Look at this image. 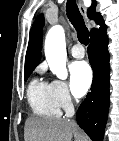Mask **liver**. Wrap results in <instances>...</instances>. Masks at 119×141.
Here are the masks:
<instances>
[{"label":"liver","mask_w":119,"mask_h":141,"mask_svg":"<svg viewBox=\"0 0 119 141\" xmlns=\"http://www.w3.org/2000/svg\"><path fill=\"white\" fill-rule=\"evenodd\" d=\"M26 141H87V137L70 120L30 117L25 122Z\"/></svg>","instance_id":"6515ba94"}]
</instances>
